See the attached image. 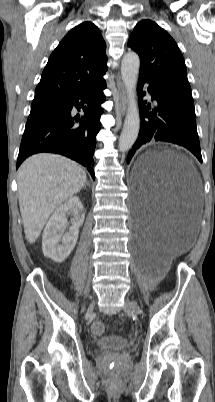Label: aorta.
<instances>
[{
  "instance_id": "obj_1",
  "label": "aorta",
  "mask_w": 215,
  "mask_h": 402,
  "mask_svg": "<svg viewBox=\"0 0 215 402\" xmlns=\"http://www.w3.org/2000/svg\"><path fill=\"white\" fill-rule=\"evenodd\" d=\"M140 59L134 52L124 55L121 62V76L127 92V114L119 138V150L128 151L135 143L139 129L140 116L137 104V80L139 75Z\"/></svg>"
}]
</instances>
